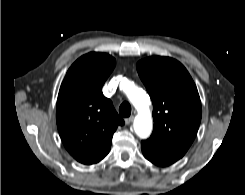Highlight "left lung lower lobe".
I'll return each mask as SVG.
<instances>
[{"label": "left lung lower lobe", "mask_w": 245, "mask_h": 195, "mask_svg": "<svg viewBox=\"0 0 245 195\" xmlns=\"http://www.w3.org/2000/svg\"><path fill=\"white\" fill-rule=\"evenodd\" d=\"M144 157L158 166H168L179 160L187 152L188 148L166 143L151 136L141 142Z\"/></svg>", "instance_id": "0a47b994"}]
</instances>
